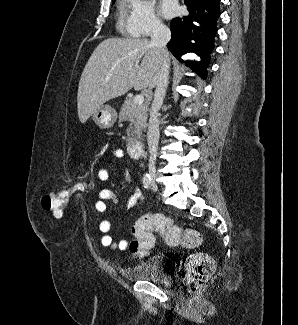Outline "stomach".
<instances>
[{
  "mask_svg": "<svg viewBox=\"0 0 298 325\" xmlns=\"http://www.w3.org/2000/svg\"><path fill=\"white\" fill-rule=\"evenodd\" d=\"M92 120L100 128H110L117 120V112L111 104H102L100 108H96L95 112H93Z\"/></svg>",
  "mask_w": 298,
  "mask_h": 325,
  "instance_id": "stomach-1",
  "label": "stomach"
}]
</instances>
